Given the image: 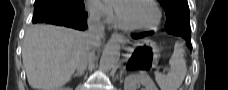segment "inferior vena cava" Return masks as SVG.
Listing matches in <instances>:
<instances>
[{
    "mask_svg": "<svg viewBox=\"0 0 228 90\" xmlns=\"http://www.w3.org/2000/svg\"><path fill=\"white\" fill-rule=\"evenodd\" d=\"M88 29L85 32L86 47L81 54V57L77 63L78 73H84L87 68L88 52L91 49V45L104 35V25L101 22V12L97 7H90L89 17L87 20Z\"/></svg>",
    "mask_w": 228,
    "mask_h": 90,
    "instance_id": "602c4592",
    "label": "inferior vena cava"
}]
</instances>
